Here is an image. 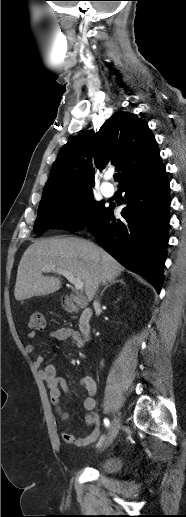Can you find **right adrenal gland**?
<instances>
[{
    "instance_id": "1",
    "label": "right adrenal gland",
    "mask_w": 186,
    "mask_h": 517,
    "mask_svg": "<svg viewBox=\"0 0 186 517\" xmlns=\"http://www.w3.org/2000/svg\"><path fill=\"white\" fill-rule=\"evenodd\" d=\"M117 282H120L121 284H125V282L123 281V279H117V280H116V279H113V280L109 281V283H106V284H105V287H104V289H103V290H102V292H101V296H103V293H104V291L107 289V287H109L110 285H112V284H114V283H117Z\"/></svg>"
}]
</instances>
